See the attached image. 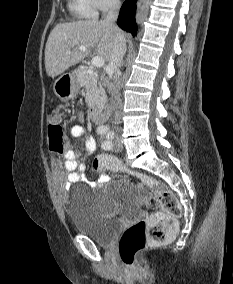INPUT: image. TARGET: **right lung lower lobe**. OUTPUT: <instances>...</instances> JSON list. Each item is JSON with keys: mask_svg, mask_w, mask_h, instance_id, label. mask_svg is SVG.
<instances>
[{"mask_svg": "<svg viewBox=\"0 0 233 284\" xmlns=\"http://www.w3.org/2000/svg\"><path fill=\"white\" fill-rule=\"evenodd\" d=\"M136 1L137 0H125L117 20V24L122 29L130 32L133 36H135L137 32V24L135 21Z\"/></svg>", "mask_w": 233, "mask_h": 284, "instance_id": "obj_1", "label": "right lung lower lobe"}]
</instances>
